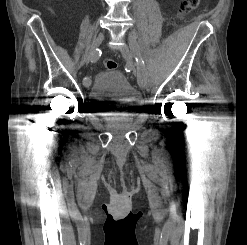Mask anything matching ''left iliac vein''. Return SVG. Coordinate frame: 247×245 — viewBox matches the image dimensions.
Listing matches in <instances>:
<instances>
[{"label":"left iliac vein","mask_w":247,"mask_h":245,"mask_svg":"<svg viewBox=\"0 0 247 245\" xmlns=\"http://www.w3.org/2000/svg\"><path fill=\"white\" fill-rule=\"evenodd\" d=\"M130 48H131V45H130ZM120 51H121L123 57L129 62L130 66L133 68L134 73L138 77V70L135 68V66L133 64V61H132V58H131V53H130L129 48L126 47V46H122L120 48ZM138 83H139L140 87L145 88V89H147L149 87V84H150L149 83V79L146 76V74L142 78L138 77Z\"/></svg>","instance_id":"1"}]
</instances>
